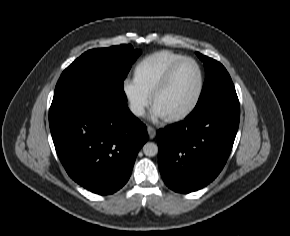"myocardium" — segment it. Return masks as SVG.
I'll return each mask as SVG.
<instances>
[{
  "instance_id": "myocardium-1",
  "label": "myocardium",
  "mask_w": 290,
  "mask_h": 236,
  "mask_svg": "<svg viewBox=\"0 0 290 236\" xmlns=\"http://www.w3.org/2000/svg\"><path fill=\"white\" fill-rule=\"evenodd\" d=\"M184 64H192L197 73V88L195 91V94L192 98V100L189 102V104L181 111L177 113H172V114H161L158 112V110L155 108V101L157 96L164 91L169 84L171 83L176 71ZM203 85H204V75L201 66L199 63L192 59V58H184L179 60L177 63H175L165 74L163 79L155 86V88L152 90L151 95H150V104L151 106L159 113L162 115V117L168 121H174V120H179L184 117H186L188 114L192 112V110L195 108L196 104L199 101V98L201 96L202 90H203Z\"/></svg>"
}]
</instances>
